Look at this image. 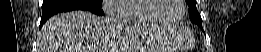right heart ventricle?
Listing matches in <instances>:
<instances>
[{
  "label": "right heart ventricle",
  "mask_w": 261,
  "mask_h": 52,
  "mask_svg": "<svg viewBox=\"0 0 261 52\" xmlns=\"http://www.w3.org/2000/svg\"><path fill=\"white\" fill-rule=\"evenodd\" d=\"M148 0H131L121 4L120 9L124 14L125 24H153L156 23L145 9Z\"/></svg>",
  "instance_id": "e07e8e85"
}]
</instances>
